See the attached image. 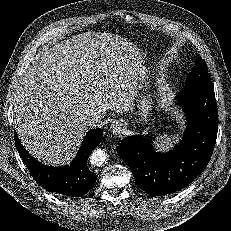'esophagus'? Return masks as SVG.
<instances>
[{
	"mask_svg": "<svg viewBox=\"0 0 231 231\" xmlns=\"http://www.w3.org/2000/svg\"><path fill=\"white\" fill-rule=\"evenodd\" d=\"M124 130V124L120 121L115 120L111 124L110 131L114 136H121L122 134H124Z\"/></svg>",
	"mask_w": 231,
	"mask_h": 231,
	"instance_id": "34e87169",
	"label": "esophagus"
}]
</instances>
